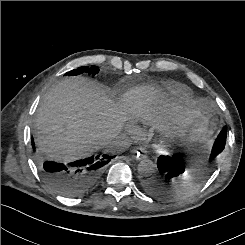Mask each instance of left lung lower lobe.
Masks as SVG:
<instances>
[{
  "instance_id": "left-lung-lower-lobe-1",
  "label": "left lung lower lobe",
  "mask_w": 245,
  "mask_h": 245,
  "mask_svg": "<svg viewBox=\"0 0 245 245\" xmlns=\"http://www.w3.org/2000/svg\"><path fill=\"white\" fill-rule=\"evenodd\" d=\"M227 128L224 127L218 135L209 161L215 159L224 149L226 143ZM159 176H150L143 182L144 189L151 195L161 196L164 194L162 190V180L167 183H174L181 180L184 172L185 165L176 155L173 156H159L157 160Z\"/></svg>"
}]
</instances>
